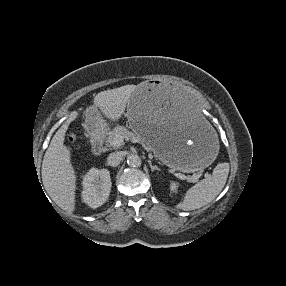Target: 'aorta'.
<instances>
[{
    "label": "aorta",
    "instance_id": "1",
    "mask_svg": "<svg viewBox=\"0 0 286 286\" xmlns=\"http://www.w3.org/2000/svg\"><path fill=\"white\" fill-rule=\"evenodd\" d=\"M127 164L130 167H140L141 166V158L137 154H130L127 157Z\"/></svg>",
    "mask_w": 286,
    "mask_h": 286
}]
</instances>
